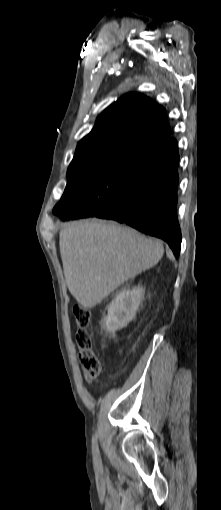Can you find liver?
Segmentation results:
<instances>
[{"label": "liver", "instance_id": "liver-1", "mask_svg": "<svg viewBox=\"0 0 221 510\" xmlns=\"http://www.w3.org/2000/svg\"><path fill=\"white\" fill-rule=\"evenodd\" d=\"M59 246L67 287L85 308L98 305L125 281L155 266L164 253L157 239L95 219L63 227Z\"/></svg>", "mask_w": 221, "mask_h": 510}]
</instances>
